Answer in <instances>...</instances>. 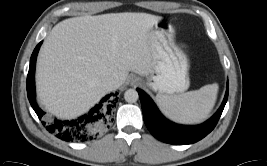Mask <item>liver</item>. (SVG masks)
<instances>
[{
    "label": "liver",
    "mask_w": 267,
    "mask_h": 166,
    "mask_svg": "<svg viewBox=\"0 0 267 166\" xmlns=\"http://www.w3.org/2000/svg\"><path fill=\"white\" fill-rule=\"evenodd\" d=\"M162 17L123 12L63 20L53 27L40 50L36 86L41 104L60 118H75L130 71L147 76L153 66L152 30Z\"/></svg>",
    "instance_id": "1"
}]
</instances>
